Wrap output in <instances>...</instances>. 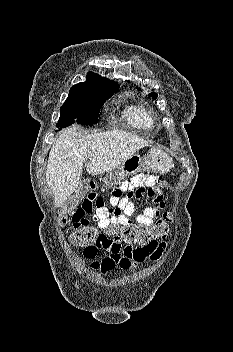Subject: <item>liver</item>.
<instances>
[{
	"label": "liver",
	"instance_id": "liver-1",
	"mask_svg": "<svg viewBox=\"0 0 233 352\" xmlns=\"http://www.w3.org/2000/svg\"><path fill=\"white\" fill-rule=\"evenodd\" d=\"M148 141L122 130L86 134L76 126L68 128L52 146L46 181L56 206H63L81 183L83 165L90 175L110 172L132 157Z\"/></svg>",
	"mask_w": 233,
	"mask_h": 352
}]
</instances>
